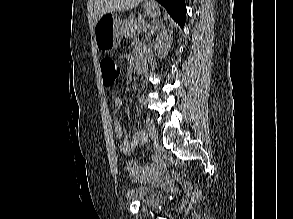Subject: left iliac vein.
<instances>
[{
  "instance_id": "obj_1",
  "label": "left iliac vein",
  "mask_w": 293,
  "mask_h": 219,
  "mask_svg": "<svg viewBox=\"0 0 293 219\" xmlns=\"http://www.w3.org/2000/svg\"><path fill=\"white\" fill-rule=\"evenodd\" d=\"M146 125H147V131L153 140L154 145H157V129L155 127V124L153 120L150 117H147L146 119Z\"/></svg>"
}]
</instances>
